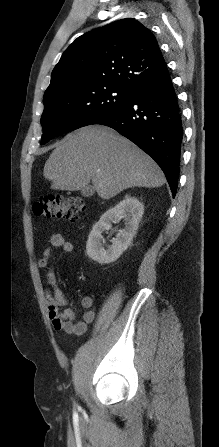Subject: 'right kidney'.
Segmentation results:
<instances>
[{
    "label": "right kidney",
    "instance_id": "right-kidney-1",
    "mask_svg": "<svg viewBox=\"0 0 219 447\" xmlns=\"http://www.w3.org/2000/svg\"><path fill=\"white\" fill-rule=\"evenodd\" d=\"M143 204L135 197L126 195L125 198L114 207L107 210L100 220L93 226L86 244L89 258L99 264H109L116 261L127 250L135 236L142 215ZM125 220V228L119 230L116 238L112 239V245L104 249L102 246V233L111 228V223Z\"/></svg>",
    "mask_w": 219,
    "mask_h": 447
}]
</instances>
